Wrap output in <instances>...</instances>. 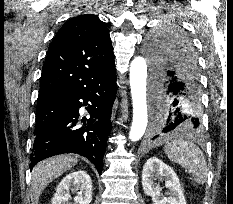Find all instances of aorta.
<instances>
[{
    "instance_id": "762f6f07",
    "label": "aorta",
    "mask_w": 233,
    "mask_h": 204,
    "mask_svg": "<svg viewBox=\"0 0 233 204\" xmlns=\"http://www.w3.org/2000/svg\"><path fill=\"white\" fill-rule=\"evenodd\" d=\"M147 64L138 56L130 65V87L133 103V121L129 133L131 141H138L144 135L148 123L147 94H146ZM167 107V104H162ZM157 108L159 105L157 104Z\"/></svg>"
}]
</instances>
